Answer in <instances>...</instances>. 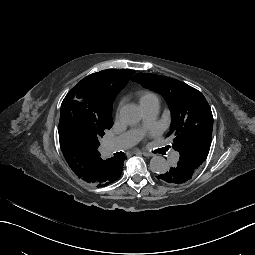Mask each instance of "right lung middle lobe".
Masks as SVG:
<instances>
[{
	"instance_id": "1",
	"label": "right lung middle lobe",
	"mask_w": 255,
	"mask_h": 255,
	"mask_svg": "<svg viewBox=\"0 0 255 255\" xmlns=\"http://www.w3.org/2000/svg\"><path fill=\"white\" fill-rule=\"evenodd\" d=\"M112 123L80 117L67 106H61L59 120V141L61 147L87 148L99 147V140Z\"/></svg>"
}]
</instances>
